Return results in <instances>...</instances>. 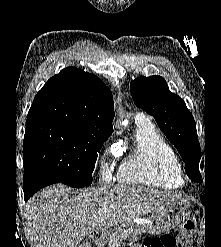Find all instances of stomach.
I'll use <instances>...</instances> for the list:
<instances>
[{
	"mask_svg": "<svg viewBox=\"0 0 221 247\" xmlns=\"http://www.w3.org/2000/svg\"><path fill=\"white\" fill-rule=\"evenodd\" d=\"M190 213V203L184 198L176 197L170 200L165 206L154 211L147 230L150 234H159L170 230L179 225ZM139 236V234H133L131 237L136 240ZM103 238L108 239L106 233L103 234Z\"/></svg>",
	"mask_w": 221,
	"mask_h": 247,
	"instance_id": "1",
	"label": "stomach"
}]
</instances>
